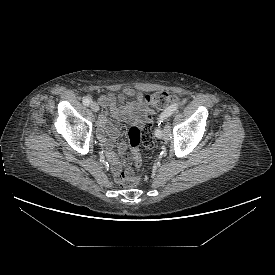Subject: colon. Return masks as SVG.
Wrapping results in <instances>:
<instances>
[{"mask_svg": "<svg viewBox=\"0 0 275 275\" xmlns=\"http://www.w3.org/2000/svg\"><path fill=\"white\" fill-rule=\"evenodd\" d=\"M175 100V97L166 91L154 92L146 96V101L149 105L163 109L171 104ZM128 139L130 148L132 151L133 159L137 166L141 165V159L139 155V146L142 143L146 149H151L154 146L153 133L151 125L148 123L143 128L133 126L128 131ZM139 181L138 176L129 175L122 182L121 185L124 188H132Z\"/></svg>", "mask_w": 275, "mask_h": 275, "instance_id": "obj_1", "label": "colon"}]
</instances>
